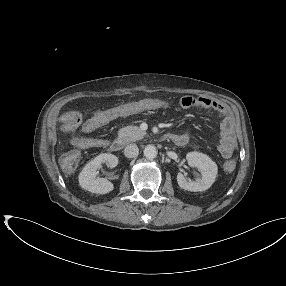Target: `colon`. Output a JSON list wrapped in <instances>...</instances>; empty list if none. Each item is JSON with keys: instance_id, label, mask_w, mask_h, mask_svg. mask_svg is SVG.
<instances>
[{"instance_id": "colon-1", "label": "colon", "mask_w": 286, "mask_h": 286, "mask_svg": "<svg viewBox=\"0 0 286 286\" xmlns=\"http://www.w3.org/2000/svg\"><path fill=\"white\" fill-rule=\"evenodd\" d=\"M112 113H113L112 111L106 110L104 112V116H110ZM71 115L74 119L76 120L79 119V114L77 112L72 111ZM78 161H79V155L76 151H71L62 158V164L64 165L66 169H73L78 164ZM234 167H235V163L232 160L228 161L225 164V168L228 171H232Z\"/></svg>"}]
</instances>
